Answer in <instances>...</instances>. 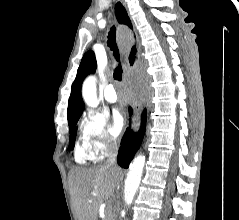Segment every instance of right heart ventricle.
Masks as SVG:
<instances>
[{
  "label": "right heart ventricle",
  "mask_w": 239,
  "mask_h": 220,
  "mask_svg": "<svg viewBox=\"0 0 239 220\" xmlns=\"http://www.w3.org/2000/svg\"><path fill=\"white\" fill-rule=\"evenodd\" d=\"M94 158L91 155L90 150L83 142L77 144L75 148V160L77 163L85 164Z\"/></svg>",
  "instance_id": "1"
}]
</instances>
